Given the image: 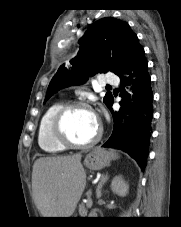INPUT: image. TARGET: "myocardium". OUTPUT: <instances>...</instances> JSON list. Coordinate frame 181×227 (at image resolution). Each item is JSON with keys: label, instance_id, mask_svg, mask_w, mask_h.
<instances>
[{"label": "myocardium", "instance_id": "obj_1", "mask_svg": "<svg viewBox=\"0 0 181 227\" xmlns=\"http://www.w3.org/2000/svg\"><path fill=\"white\" fill-rule=\"evenodd\" d=\"M76 109L88 110L94 114L92 107L85 102L75 101L72 103H67L62 105L52 119L51 131H52L53 137L65 147L78 148V149H85V148L92 147L100 140L102 136V127L100 125H98V131L95 134V136L86 142L73 141L68 137V135L65 132V129H64L65 118L71 111Z\"/></svg>", "mask_w": 181, "mask_h": 227}]
</instances>
